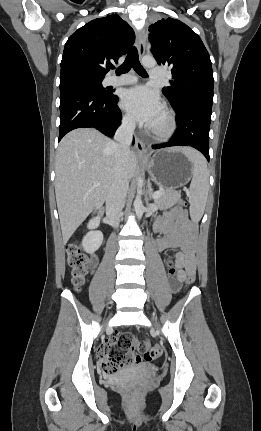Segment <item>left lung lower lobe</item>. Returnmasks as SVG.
<instances>
[{"label":"left lung lower lobe","mask_w":261,"mask_h":431,"mask_svg":"<svg viewBox=\"0 0 261 431\" xmlns=\"http://www.w3.org/2000/svg\"><path fill=\"white\" fill-rule=\"evenodd\" d=\"M174 110L177 115V130L174 137L169 142L153 145L152 148L192 146L199 150L209 161V128L212 102L193 100Z\"/></svg>","instance_id":"left-lung-lower-lobe-1"}]
</instances>
